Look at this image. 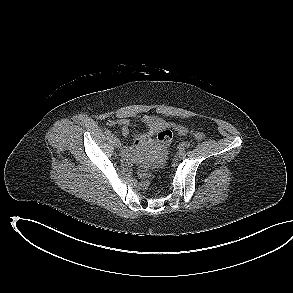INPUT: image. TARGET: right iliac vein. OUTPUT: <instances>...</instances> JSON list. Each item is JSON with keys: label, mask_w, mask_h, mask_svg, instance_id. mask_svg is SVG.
Listing matches in <instances>:
<instances>
[{"label": "right iliac vein", "mask_w": 293, "mask_h": 293, "mask_svg": "<svg viewBox=\"0 0 293 293\" xmlns=\"http://www.w3.org/2000/svg\"><path fill=\"white\" fill-rule=\"evenodd\" d=\"M112 142H113V145L116 147V148H120L121 147V142L118 138H113L112 139Z\"/></svg>", "instance_id": "right-iliac-vein-1"}]
</instances>
